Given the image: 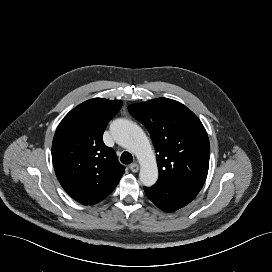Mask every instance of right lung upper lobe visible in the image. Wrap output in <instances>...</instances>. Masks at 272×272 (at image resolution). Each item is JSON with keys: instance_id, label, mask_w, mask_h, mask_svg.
<instances>
[{"instance_id": "right-lung-upper-lobe-1", "label": "right lung upper lobe", "mask_w": 272, "mask_h": 272, "mask_svg": "<svg viewBox=\"0 0 272 272\" xmlns=\"http://www.w3.org/2000/svg\"><path fill=\"white\" fill-rule=\"evenodd\" d=\"M121 107L119 100L90 99L71 110L55 132L52 160L56 176L64 190L83 205L106 198L124 173L114 150L102 139Z\"/></svg>"}]
</instances>
